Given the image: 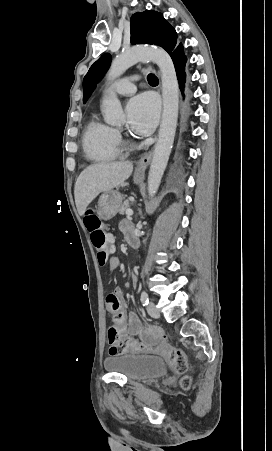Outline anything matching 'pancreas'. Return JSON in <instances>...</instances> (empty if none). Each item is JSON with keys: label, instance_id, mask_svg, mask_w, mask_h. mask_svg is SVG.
<instances>
[{"label": "pancreas", "instance_id": "cf45deb5", "mask_svg": "<svg viewBox=\"0 0 272 451\" xmlns=\"http://www.w3.org/2000/svg\"><path fill=\"white\" fill-rule=\"evenodd\" d=\"M130 208V204L128 202V200H125L124 204H122L121 208H119L118 212L119 214H122V216H124L126 210H129Z\"/></svg>", "mask_w": 272, "mask_h": 451}]
</instances>
